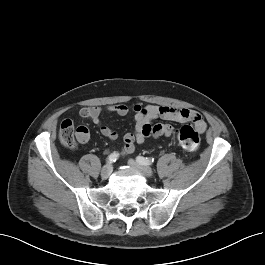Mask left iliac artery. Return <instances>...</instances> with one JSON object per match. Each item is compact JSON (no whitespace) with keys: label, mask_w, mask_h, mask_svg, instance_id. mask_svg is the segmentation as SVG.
<instances>
[{"label":"left iliac artery","mask_w":265,"mask_h":265,"mask_svg":"<svg viewBox=\"0 0 265 265\" xmlns=\"http://www.w3.org/2000/svg\"><path fill=\"white\" fill-rule=\"evenodd\" d=\"M136 161L139 163V164H141V165H145V166H147V165H151L152 163H153V161H154V159L152 158H145V157H142V156H138L137 158H136Z\"/></svg>","instance_id":"left-iliac-artery-1"}]
</instances>
